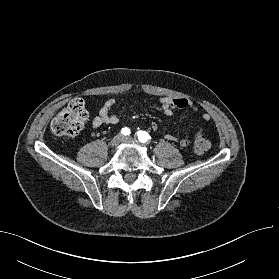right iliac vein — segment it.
I'll list each match as a JSON object with an SVG mask.
<instances>
[{"label": "right iliac vein", "instance_id": "right-iliac-vein-1", "mask_svg": "<svg viewBox=\"0 0 279 279\" xmlns=\"http://www.w3.org/2000/svg\"><path fill=\"white\" fill-rule=\"evenodd\" d=\"M123 137L122 135L118 134L116 136H114L111 141H110V146L111 147H116L119 145V143L122 141Z\"/></svg>", "mask_w": 279, "mask_h": 279}]
</instances>
